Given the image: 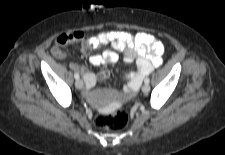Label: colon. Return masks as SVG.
Listing matches in <instances>:
<instances>
[{
    "instance_id": "5ec220e1",
    "label": "colon",
    "mask_w": 225,
    "mask_h": 155,
    "mask_svg": "<svg viewBox=\"0 0 225 155\" xmlns=\"http://www.w3.org/2000/svg\"><path fill=\"white\" fill-rule=\"evenodd\" d=\"M130 117L127 111L121 109L118 112L106 113L103 115H98L94 123L97 127L108 130V131H121L129 123Z\"/></svg>"
}]
</instances>
